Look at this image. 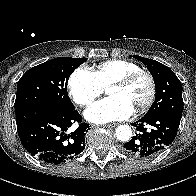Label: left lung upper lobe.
<instances>
[{
    "mask_svg": "<svg viewBox=\"0 0 196 196\" xmlns=\"http://www.w3.org/2000/svg\"><path fill=\"white\" fill-rule=\"evenodd\" d=\"M133 57L147 66L155 81L156 98L146 114L167 113L181 119L182 85L177 76L169 67L158 61L141 56Z\"/></svg>",
    "mask_w": 196,
    "mask_h": 196,
    "instance_id": "5c2ea615",
    "label": "left lung upper lobe"
}]
</instances>
